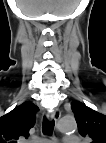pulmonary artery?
Wrapping results in <instances>:
<instances>
[{
  "instance_id": "pulmonary-artery-1",
  "label": "pulmonary artery",
  "mask_w": 106,
  "mask_h": 143,
  "mask_svg": "<svg viewBox=\"0 0 106 143\" xmlns=\"http://www.w3.org/2000/svg\"><path fill=\"white\" fill-rule=\"evenodd\" d=\"M67 140L73 141V140H76V139L72 138V137H69V138H67Z\"/></svg>"
}]
</instances>
